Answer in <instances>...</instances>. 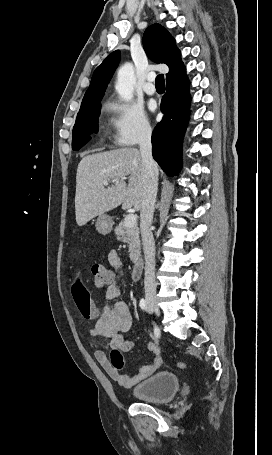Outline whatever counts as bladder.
I'll return each mask as SVG.
<instances>
[{"label":"bladder","mask_w":272,"mask_h":455,"mask_svg":"<svg viewBox=\"0 0 272 455\" xmlns=\"http://www.w3.org/2000/svg\"><path fill=\"white\" fill-rule=\"evenodd\" d=\"M180 389V380L170 371H160L137 384L132 394L135 398L152 403L172 399Z\"/></svg>","instance_id":"31cf9c89"}]
</instances>
